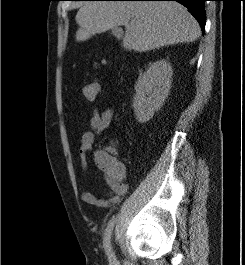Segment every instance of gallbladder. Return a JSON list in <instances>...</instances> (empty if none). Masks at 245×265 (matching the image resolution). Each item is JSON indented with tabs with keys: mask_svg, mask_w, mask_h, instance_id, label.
<instances>
[{
	"mask_svg": "<svg viewBox=\"0 0 245 265\" xmlns=\"http://www.w3.org/2000/svg\"><path fill=\"white\" fill-rule=\"evenodd\" d=\"M112 35H114L115 37L122 35V30L119 27H114L111 29Z\"/></svg>",
	"mask_w": 245,
	"mask_h": 265,
	"instance_id": "gallbladder-1",
	"label": "gallbladder"
}]
</instances>
